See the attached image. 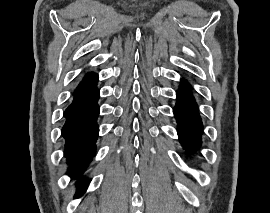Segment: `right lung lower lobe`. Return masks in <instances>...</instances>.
Listing matches in <instances>:
<instances>
[{"label":"right lung lower lobe","mask_w":270,"mask_h":213,"mask_svg":"<svg viewBox=\"0 0 270 213\" xmlns=\"http://www.w3.org/2000/svg\"><path fill=\"white\" fill-rule=\"evenodd\" d=\"M97 81V74L87 73L75 89L72 103L64 112L66 122L62 135L65 138V157L71 165L69 174L76 179L83 174L95 155V142L99 133L97 117L100 111L97 104L100 96L96 88ZM87 186L86 180L79 181L75 197H80Z\"/></svg>","instance_id":"1"}]
</instances>
